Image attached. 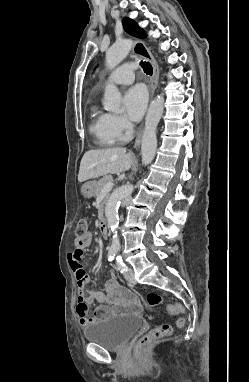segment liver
Returning <instances> with one entry per match:
<instances>
[{
  "instance_id": "obj_1",
  "label": "liver",
  "mask_w": 249,
  "mask_h": 382,
  "mask_svg": "<svg viewBox=\"0 0 249 382\" xmlns=\"http://www.w3.org/2000/svg\"><path fill=\"white\" fill-rule=\"evenodd\" d=\"M133 162V154L127 153L125 148L89 150L82 157L78 181L84 182L108 173L119 175L128 171Z\"/></svg>"
}]
</instances>
